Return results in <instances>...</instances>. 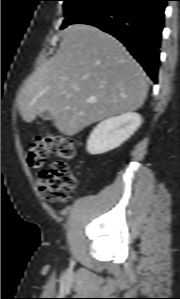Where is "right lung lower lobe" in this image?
<instances>
[{"instance_id":"1","label":"right lung lower lobe","mask_w":180,"mask_h":299,"mask_svg":"<svg viewBox=\"0 0 180 299\" xmlns=\"http://www.w3.org/2000/svg\"><path fill=\"white\" fill-rule=\"evenodd\" d=\"M166 1L103 0L71 24L93 25L115 36L157 83Z\"/></svg>"}]
</instances>
